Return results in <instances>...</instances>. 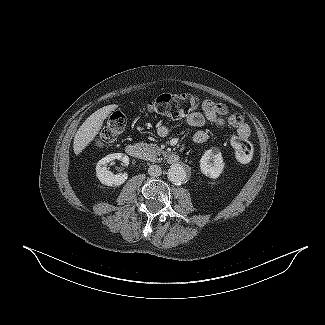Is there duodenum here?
Masks as SVG:
<instances>
[{"instance_id":"1","label":"duodenum","mask_w":325,"mask_h":325,"mask_svg":"<svg viewBox=\"0 0 325 325\" xmlns=\"http://www.w3.org/2000/svg\"><path fill=\"white\" fill-rule=\"evenodd\" d=\"M126 152L127 154L135 159H141L143 157V151L140 145L136 143H131L126 146ZM180 157L176 153H170L167 157V162L169 164H174L179 162Z\"/></svg>"}]
</instances>
